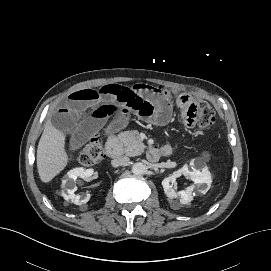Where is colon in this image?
<instances>
[{"instance_id": "obj_1", "label": "colon", "mask_w": 271, "mask_h": 271, "mask_svg": "<svg viewBox=\"0 0 271 271\" xmlns=\"http://www.w3.org/2000/svg\"><path fill=\"white\" fill-rule=\"evenodd\" d=\"M182 108L183 122L187 127H196L200 132H206L214 123L215 113L211 105L189 93L178 97ZM103 158V150L98 137L92 136L84 146L79 161L84 166L98 164Z\"/></svg>"}]
</instances>
